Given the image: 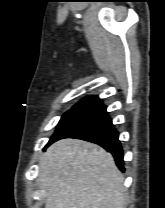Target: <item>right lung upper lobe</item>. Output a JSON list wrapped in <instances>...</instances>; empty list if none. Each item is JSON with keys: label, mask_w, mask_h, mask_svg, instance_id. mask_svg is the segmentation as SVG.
<instances>
[{"label": "right lung upper lobe", "mask_w": 165, "mask_h": 208, "mask_svg": "<svg viewBox=\"0 0 165 208\" xmlns=\"http://www.w3.org/2000/svg\"><path fill=\"white\" fill-rule=\"evenodd\" d=\"M101 103L102 101L97 96H88L79 101L74 107H87L93 109Z\"/></svg>", "instance_id": "1"}]
</instances>
